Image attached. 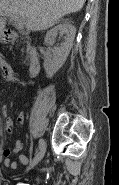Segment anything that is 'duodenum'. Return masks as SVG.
<instances>
[{"label":"duodenum","mask_w":119,"mask_h":185,"mask_svg":"<svg viewBox=\"0 0 119 185\" xmlns=\"http://www.w3.org/2000/svg\"><path fill=\"white\" fill-rule=\"evenodd\" d=\"M18 37L19 36L13 31H8L6 34V38L8 39V41H15L18 39ZM23 39L26 42H28V38L24 37ZM39 71H40L39 54L35 48L31 47L28 73L31 77H34L38 74Z\"/></svg>","instance_id":"1"}]
</instances>
